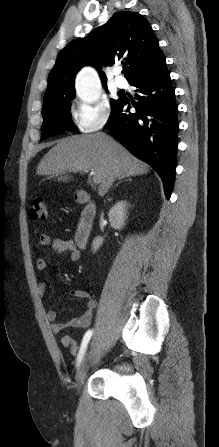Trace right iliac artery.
Here are the masks:
<instances>
[{"instance_id":"1","label":"right iliac artery","mask_w":219,"mask_h":447,"mask_svg":"<svg viewBox=\"0 0 219 447\" xmlns=\"http://www.w3.org/2000/svg\"><path fill=\"white\" fill-rule=\"evenodd\" d=\"M92 334H93V330L90 329V330H88V331L85 333V335H84V337H83V340H82V343H81V346H80V350H79V353H78V357H77V365H79V363L81 362V360H82V358H83V356H84L85 350H86V348H87V345H88V343H89V340H90L91 337H92Z\"/></svg>"}]
</instances>
